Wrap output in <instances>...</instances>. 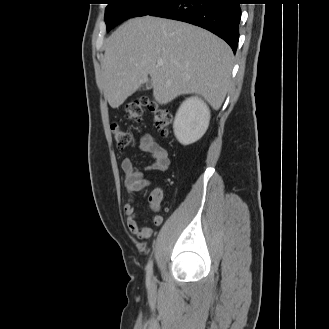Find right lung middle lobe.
Wrapping results in <instances>:
<instances>
[{
    "mask_svg": "<svg viewBox=\"0 0 329 329\" xmlns=\"http://www.w3.org/2000/svg\"><path fill=\"white\" fill-rule=\"evenodd\" d=\"M172 0H107L105 22L107 31L122 21L136 16L149 15Z\"/></svg>",
    "mask_w": 329,
    "mask_h": 329,
    "instance_id": "obj_1",
    "label": "right lung middle lobe"
}]
</instances>
